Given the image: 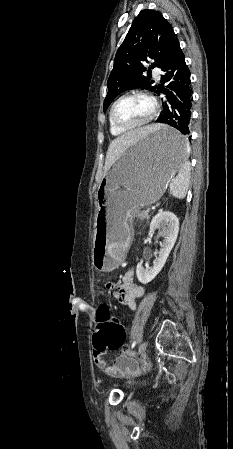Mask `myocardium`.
Wrapping results in <instances>:
<instances>
[{"label":"myocardium","mask_w":233,"mask_h":449,"mask_svg":"<svg viewBox=\"0 0 233 449\" xmlns=\"http://www.w3.org/2000/svg\"><path fill=\"white\" fill-rule=\"evenodd\" d=\"M130 96H142V97L146 98L147 100H149V102L151 103V107H152L151 112L145 120H143L139 123L132 124V125H122L115 120L114 109H115L116 105L122 99H124L126 97H130ZM157 111H158V103L154 96H152L150 93H148L146 91L133 90V91H129V92L122 94L113 102V104L110 108V111H109V121L116 129H118L120 131H130V130L142 128V127L148 125L149 123H151L153 121V119L156 117Z\"/></svg>","instance_id":"obj_1"}]
</instances>
